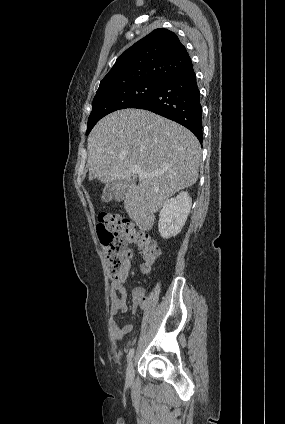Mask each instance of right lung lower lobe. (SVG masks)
<instances>
[{"label":"right lung lower lobe","instance_id":"98d812e1","mask_svg":"<svg viewBox=\"0 0 285 424\" xmlns=\"http://www.w3.org/2000/svg\"><path fill=\"white\" fill-rule=\"evenodd\" d=\"M130 108L149 110L189 129L202 143V107L193 65L164 81L149 97Z\"/></svg>","mask_w":285,"mask_h":424}]
</instances>
